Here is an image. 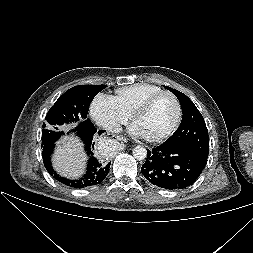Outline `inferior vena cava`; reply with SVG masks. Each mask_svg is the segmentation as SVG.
Instances as JSON below:
<instances>
[{
  "mask_svg": "<svg viewBox=\"0 0 253 253\" xmlns=\"http://www.w3.org/2000/svg\"><path fill=\"white\" fill-rule=\"evenodd\" d=\"M105 129L112 133H120L122 131V127L119 123L110 121L105 124Z\"/></svg>",
  "mask_w": 253,
  "mask_h": 253,
  "instance_id": "obj_1",
  "label": "inferior vena cava"
}]
</instances>
